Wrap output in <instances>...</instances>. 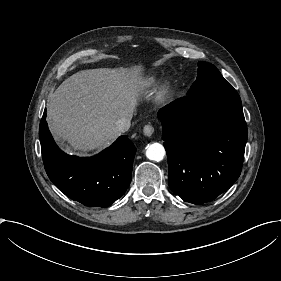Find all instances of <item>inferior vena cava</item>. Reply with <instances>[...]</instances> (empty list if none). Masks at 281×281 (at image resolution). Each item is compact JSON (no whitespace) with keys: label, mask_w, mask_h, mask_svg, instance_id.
I'll list each match as a JSON object with an SVG mask.
<instances>
[{"label":"inferior vena cava","mask_w":281,"mask_h":281,"mask_svg":"<svg viewBox=\"0 0 281 281\" xmlns=\"http://www.w3.org/2000/svg\"><path fill=\"white\" fill-rule=\"evenodd\" d=\"M132 118V115H130L129 117H123L121 119H119L118 121H116L115 125L117 130L122 133V132H126L129 130L130 128V120Z\"/></svg>","instance_id":"1"}]
</instances>
